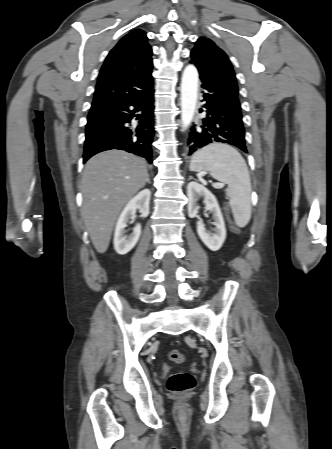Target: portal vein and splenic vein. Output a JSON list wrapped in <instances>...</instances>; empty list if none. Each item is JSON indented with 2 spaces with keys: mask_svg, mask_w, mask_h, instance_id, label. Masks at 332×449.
<instances>
[{
  "mask_svg": "<svg viewBox=\"0 0 332 449\" xmlns=\"http://www.w3.org/2000/svg\"><path fill=\"white\" fill-rule=\"evenodd\" d=\"M214 185H215V186H218V187H221V188L224 187V184H223V183H215Z\"/></svg>",
  "mask_w": 332,
  "mask_h": 449,
  "instance_id": "18ae733b",
  "label": "portal vein and splenic vein"
}]
</instances>
